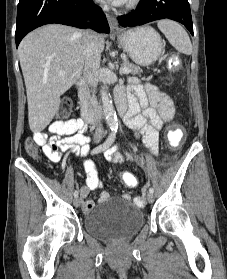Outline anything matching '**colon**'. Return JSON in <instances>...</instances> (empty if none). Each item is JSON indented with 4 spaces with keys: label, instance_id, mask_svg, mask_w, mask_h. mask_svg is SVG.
Segmentation results:
<instances>
[{
    "label": "colon",
    "instance_id": "5ec220e1",
    "mask_svg": "<svg viewBox=\"0 0 227 279\" xmlns=\"http://www.w3.org/2000/svg\"><path fill=\"white\" fill-rule=\"evenodd\" d=\"M61 110H62V117L60 118L61 121H66L68 119V116L72 110V104L70 101H64L61 105ZM66 127V125H65ZM170 135H171V141L174 143L178 142V139H181L182 136L175 132V131H170ZM26 150L28 152L29 155H31L34 158H38L39 153H38V146L32 142V141H28L26 143ZM120 178L123 182L124 185L128 186V187H136L138 185V179L137 177L130 172H121L120 173ZM135 203L137 205H141L143 203V197L142 196H138L135 200Z\"/></svg>",
    "mask_w": 227,
    "mask_h": 279
}]
</instances>
